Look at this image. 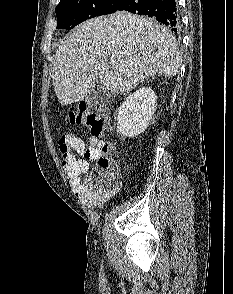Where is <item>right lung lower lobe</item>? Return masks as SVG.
<instances>
[{
  "label": "right lung lower lobe",
  "instance_id": "obj_1",
  "mask_svg": "<svg viewBox=\"0 0 233 294\" xmlns=\"http://www.w3.org/2000/svg\"><path fill=\"white\" fill-rule=\"evenodd\" d=\"M122 10L153 17L168 26L175 34L180 31L175 0H124L117 9V11Z\"/></svg>",
  "mask_w": 233,
  "mask_h": 294
}]
</instances>
